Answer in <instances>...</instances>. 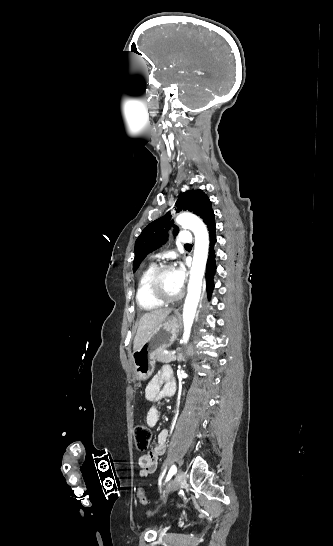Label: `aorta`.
<instances>
[{
	"label": "aorta",
	"mask_w": 333,
	"mask_h": 546,
	"mask_svg": "<svg viewBox=\"0 0 333 546\" xmlns=\"http://www.w3.org/2000/svg\"><path fill=\"white\" fill-rule=\"evenodd\" d=\"M176 223L184 228L191 229L195 235L193 263L190 271L188 293L183 308V342L187 343L200 299L202 279L208 256L209 237L205 224L195 215L185 212L180 213L176 218Z\"/></svg>",
	"instance_id": "1"
}]
</instances>
